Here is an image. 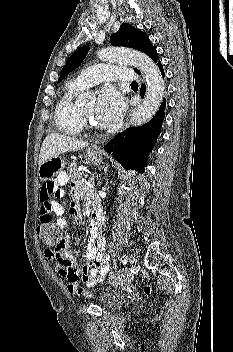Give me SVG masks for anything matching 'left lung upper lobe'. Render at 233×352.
<instances>
[{
    "instance_id": "obj_1",
    "label": "left lung upper lobe",
    "mask_w": 233,
    "mask_h": 352,
    "mask_svg": "<svg viewBox=\"0 0 233 352\" xmlns=\"http://www.w3.org/2000/svg\"><path fill=\"white\" fill-rule=\"evenodd\" d=\"M110 41L114 46H124L144 52L156 63L159 60L157 51L150 42L148 35L128 23L121 24L118 32L111 35ZM88 50V47L80 48L69 57L60 73L58 82L81 64ZM134 70L140 73L137 69Z\"/></svg>"
}]
</instances>
